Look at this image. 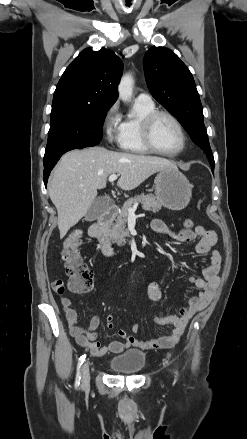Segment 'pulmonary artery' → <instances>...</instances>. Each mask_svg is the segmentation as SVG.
Instances as JSON below:
<instances>
[{"label": "pulmonary artery", "mask_w": 247, "mask_h": 439, "mask_svg": "<svg viewBox=\"0 0 247 439\" xmlns=\"http://www.w3.org/2000/svg\"><path fill=\"white\" fill-rule=\"evenodd\" d=\"M136 101L149 103V102H152V99H151V97L148 94L140 93L136 97Z\"/></svg>", "instance_id": "obj_1"}]
</instances>
